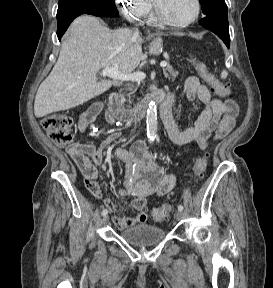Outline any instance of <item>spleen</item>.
Here are the masks:
<instances>
[{
    "label": "spleen",
    "instance_id": "obj_1",
    "mask_svg": "<svg viewBox=\"0 0 273 288\" xmlns=\"http://www.w3.org/2000/svg\"><path fill=\"white\" fill-rule=\"evenodd\" d=\"M228 75V72L226 70H223L222 73H221V78L222 79H225Z\"/></svg>",
    "mask_w": 273,
    "mask_h": 288
}]
</instances>
